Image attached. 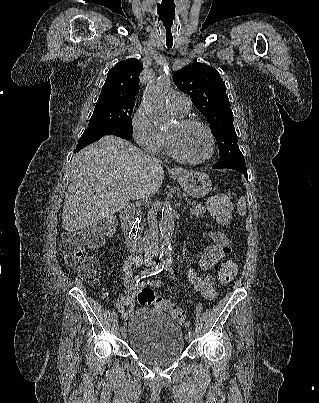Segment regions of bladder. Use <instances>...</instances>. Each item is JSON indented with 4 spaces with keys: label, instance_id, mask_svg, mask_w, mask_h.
<instances>
[{
    "label": "bladder",
    "instance_id": "1",
    "mask_svg": "<svg viewBox=\"0 0 319 403\" xmlns=\"http://www.w3.org/2000/svg\"><path fill=\"white\" fill-rule=\"evenodd\" d=\"M126 336L133 353L153 366H166L185 351V336L179 324L155 309L135 310L127 320Z\"/></svg>",
    "mask_w": 319,
    "mask_h": 403
}]
</instances>
